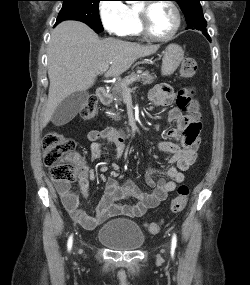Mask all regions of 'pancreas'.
Listing matches in <instances>:
<instances>
[{"mask_svg":"<svg viewBox=\"0 0 250 285\" xmlns=\"http://www.w3.org/2000/svg\"><path fill=\"white\" fill-rule=\"evenodd\" d=\"M132 78H135V81L142 82L144 85H149L154 82L155 77L151 75L148 71H145L142 74H138L136 72H132L128 76H126L124 79L118 81L115 86L112 89V95L114 97L115 103L120 104L123 101V96L126 91L125 87H129V85L132 82H128ZM125 85V86H124ZM129 89V88H128ZM115 119H119L120 117L118 115L113 116Z\"/></svg>","mask_w":250,"mask_h":285,"instance_id":"cf45deb5","label":"pancreas"}]
</instances>
